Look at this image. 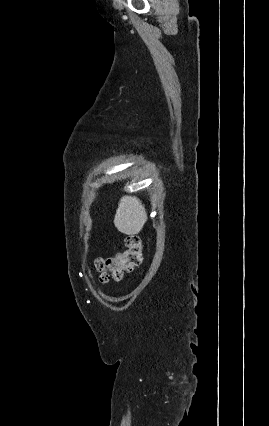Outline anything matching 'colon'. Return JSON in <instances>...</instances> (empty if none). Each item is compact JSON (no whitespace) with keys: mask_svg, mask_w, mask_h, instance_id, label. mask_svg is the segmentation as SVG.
<instances>
[{"mask_svg":"<svg viewBox=\"0 0 269 426\" xmlns=\"http://www.w3.org/2000/svg\"><path fill=\"white\" fill-rule=\"evenodd\" d=\"M143 245L135 235L125 238L124 250L110 256L100 257L94 261L93 269L101 282L119 281L125 273L133 270L141 262Z\"/></svg>","mask_w":269,"mask_h":426,"instance_id":"obj_1","label":"colon"}]
</instances>
